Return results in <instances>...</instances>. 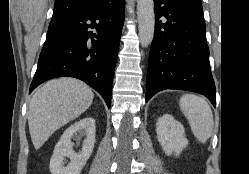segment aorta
I'll return each instance as SVG.
<instances>
[{"label": "aorta", "mask_w": 249, "mask_h": 174, "mask_svg": "<svg viewBox=\"0 0 249 174\" xmlns=\"http://www.w3.org/2000/svg\"><path fill=\"white\" fill-rule=\"evenodd\" d=\"M137 15L140 43L142 47H148L154 37V1L137 0Z\"/></svg>", "instance_id": "1"}]
</instances>
